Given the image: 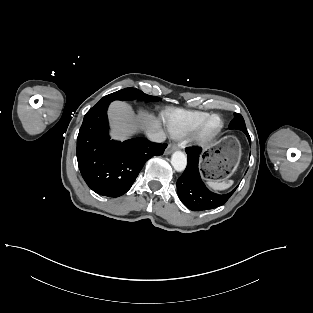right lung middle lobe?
Segmentation results:
<instances>
[{
	"label": "right lung middle lobe",
	"mask_w": 313,
	"mask_h": 313,
	"mask_svg": "<svg viewBox=\"0 0 313 313\" xmlns=\"http://www.w3.org/2000/svg\"><path fill=\"white\" fill-rule=\"evenodd\" d=\"M132 99H147L148 101H158L160 98L155 96H149L145 93H143L141 90H138L136 88H125L122 90H119L117 92L111 93L109 95L104 96L99 102L104 101H114V100H132Z\"/></svg>",
	"instance_id": "right-lung-middle-lobe-1"
}]
</instances>
